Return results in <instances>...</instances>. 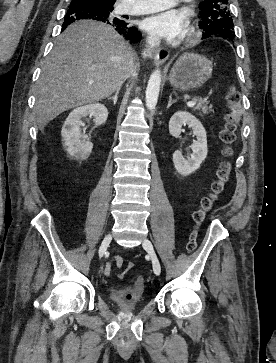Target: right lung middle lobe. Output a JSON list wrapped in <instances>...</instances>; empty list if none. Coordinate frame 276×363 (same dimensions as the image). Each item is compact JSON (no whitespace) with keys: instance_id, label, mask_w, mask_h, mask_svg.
Returning <instances> with one entry per match:
<instances>
[{"instance_id":"obj_1","label":"right lung middle lobe","mask_w":276,"mask_h":363,"mask_svg":"<svg viewBox=\"0 0 276 363\" xmlns=\"http://www.w3.org/2000/svg\"><path fill=\"white\" fill-rule=\"evenodd\" d=\"M89 6L94 8L102 17L108 18L113 11V6L105 5L95 0H72L69 8Z\"/></svg>"}]
</instances>
